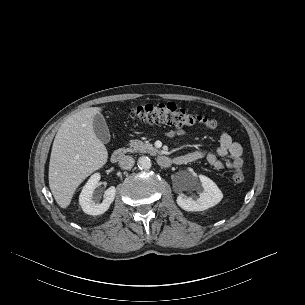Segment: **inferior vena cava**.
Masks as SVG:
<instances>
[{"mask_svg":"<svg viewBox=\"0 0 305 305\" xmlns=\"http://www.w3.org/2000/svg\"><path fill=\"white\" fill-rule=\"evenodd\" d=\"M135 160L131 156H123L119 161V166L122 169L129 170L134 166Z\"/></svg>","mask_w":305,"mask_h":305,"instance_id":"1","label":"inferior vena cava"}]
</instances>
